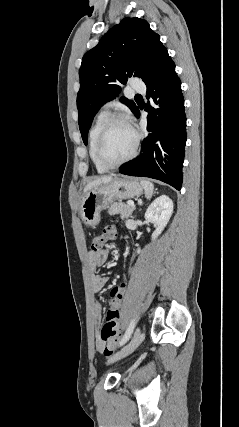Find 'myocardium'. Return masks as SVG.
Segmentation results:
<instances>
[{
    "instance_id": "obj_1",
    "label": "myocardium",
    "mask_w": 239,
    "mask_h": 427,
    "mask_svg": "<svg viewBox=\"0 0 239 427\" xmlns=\"http://www.w3.org/2000/svg\"><path fill=\"white\" fill-rule=\"evenodd\" d=\"M118 123H125L133 130L135 135L134 145L131 152L122 160L117 162H108L107 160L104 159L102 155L103 146L108 133ZM140 141H141L140 132L136 129V127L132 124V122L124 115H114L108 119V121L105 123V125L103 126L102 130L99 133V136L96 142V147H95L96 159L103 167L107 169L117 168L131 161L137 155Z\"/></svg>"
}]
</instances>
